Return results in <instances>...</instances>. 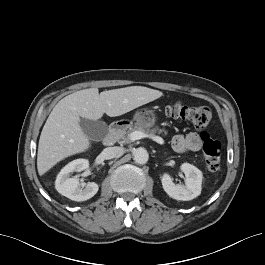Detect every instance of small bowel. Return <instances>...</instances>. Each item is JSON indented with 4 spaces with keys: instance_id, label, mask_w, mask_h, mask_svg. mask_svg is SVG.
Wrapping results in <instances>:
<instances>
[{
    "instance_id": "1",
    "label": "small bowel",
    "mask_w": 265,
    "mask_h": 265,
    "mask_svg": "<svg viewBox=\"0 0 265 265\" xmlns=\"http://www.w3.org/2000/svg\"><path fill=\"white\" fill-rule=\"evenodd\" d=\"M201 145V137L193 132L186 135H177L172 141L173 149L179 153L198 151L200 150Z\"/></svg>"
}]
</instances>
